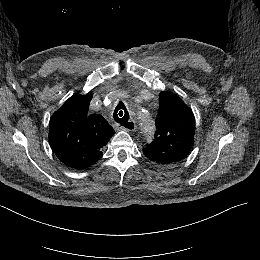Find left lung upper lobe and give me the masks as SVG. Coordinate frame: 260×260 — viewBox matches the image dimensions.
I'll return each mask as SVG.
<instances>
[{"mask_svg": "<svg viewBox=\"0 0 260 260\" xmlns=\"http://www.w3.org/2000/svg\"><path fill=\"white\" fill-rule=\"evenodd\" d=\"M154 140L143 149L144 155L161 166L178 164L187 157L194 143L195 120L192 110L177 95H159Z\"/></svg>", "mask_w": 260, "mask_h": 260, "instance_id": "5c2ea615", "label": "left lung upper lobe"}]
</instances>
